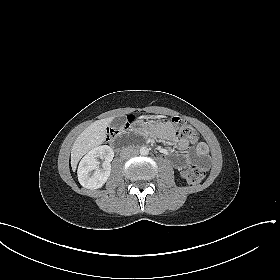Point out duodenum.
<instances>
[{
    "mask_svg": "<svg viewBox=\"0 0 280 280\" xmlns=\"http://www.w3.org/2000/svg\"><path fill=\"white\" fill-rule=\"evenodd\" d=\"M114 147H115L116 149H121V148L123 147V145H122V143H121L120 141H116V142L114 143Z\"/></svg>",
    "mask_w": 280,
    "mask_h": 280,
    "instance_id": "obj_1",
    "label": "duodenum"
}]
</instances>
